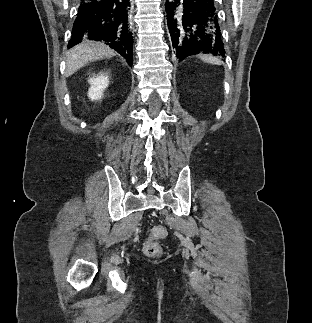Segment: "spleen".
<instances>
[{"label": "spleen", "mask_w": 312, "mask_h": 323, "mask_svg": "<svg viewBox=\"0 0 312 323\" xmlns=\"http://www.w3.org/2000/svg\"><path fill=\"white\" fill-rule=\"evenodd\" d=\"M201 60L203 62H209V64H222L220 60H217V58H212V56H200Z\"/></svg>", "instance_id": "3e777b00"}]
</instances>
